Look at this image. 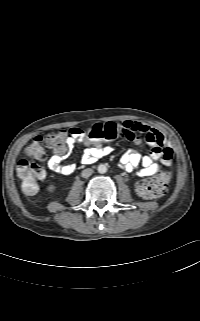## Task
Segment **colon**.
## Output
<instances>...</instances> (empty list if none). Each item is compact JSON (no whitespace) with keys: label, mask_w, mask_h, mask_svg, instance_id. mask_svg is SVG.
Returning <instances> with one entry per match:
<instances>
[{"label":"colon","mask_w":200,"mask_h":321,"mask_svg":"<svg viewBox=\"0 0 200 321\" xmlns=\"http://www.w3.org/2000/svg\"><path fill=\"white\" fill-rule=\"evenodd\" d=\"M79 135L87 137L91 142L99 144L102 141H108L117 137L113 131H102L98 127L91 129H79ZM72 135L70 130H57L48 133L46 136H37L29 144L26 149L28 156L42 160L45 156V146L51 149L64 150L67 146V141ZM172 151H168L164 164L169 165L172 159ZM17 175L22 181L23 191L28 195H33L38 190V182L44 177L43 168L36 162L27 159H21L17 163ZM171 173L167 170L159 172L152 178L143 179L136 184V192L139 196L152 199L164 195L169 187Z\"/></svg>","instance_id":"colon-1"}]
</instances>
